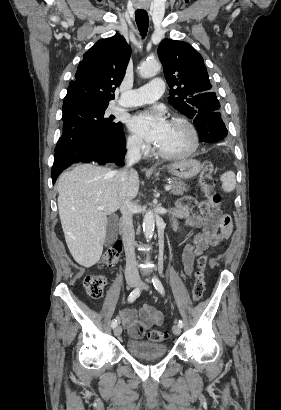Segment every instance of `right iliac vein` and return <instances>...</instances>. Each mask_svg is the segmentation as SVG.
Masks as SVG:
<instances>
[{
  "label": "right iliac vein",
  "instance_id": "obj_1",
  "mask_svg": "<svg viewBox=\"0 0 281 410\" xmlns=\"http://www.w3.org/2000/svg\"><path fill=\"white\" fill-rule=\"evenodd\" d=\"M128 285H129V287H135V286L137 285V283L131 281V282H128ZM121 333H122V328H121V326H116V327L114 328V335H115V336H120Z\"/></svg>",
  "mask_w": 281,
  "mask_h": 410
}]
</instances>
